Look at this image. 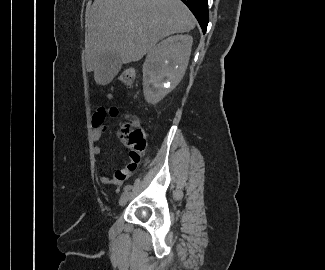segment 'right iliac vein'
Here are the masks:
<instances>
[{
    "label": "right iliac vein",
    "instance_id": "right-iliac-vein-1",
    "mask_svg": "<svg viewBox=\"0 0 325 270\" xmlns=\"http://www.w3.org/2000/svg\"><path fill=\"white\" fill-rule=\"evenodd\" d=\"M130 195H131V193L130 192H124L122 195H121V197H120V199H119V205L120 206H123V205H125L128 201H129V199H130Z\"/></svg>",
    "mask_w": 325,
    "mask_h": 270
}]
</instances>
